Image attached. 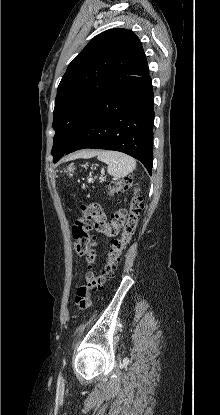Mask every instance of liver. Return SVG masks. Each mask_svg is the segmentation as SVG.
I'll list each match as a JSON object with an SVG mask.
<instances>
[{
	"label": "liver",
	"mask_w": 220,
	"mask_h": 415,
	"mask_svg": "<svg viewBox=\"0 0 220 415\" xmlns=\"http://www.w3.org/2000/svg\"><path fill=\"white\" fill-rule=\"evenodd\" d=\"M96 154L95 151H90V152H83L81 153V155L85 156V157H91L94 156Z\"/></svg>",
	"instance_id": "6515ba94"
}]
</instances>
